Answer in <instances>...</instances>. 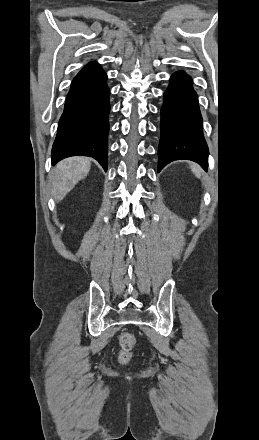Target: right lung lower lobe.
Wrapping results in <instances>:
<instances>
[{
	"label": "right lung lower lobe",
	"instance_id": "right-lung-lower-lobe-1",
	"mask_svg": "<svg viewBox=\"0 0 259 440\" xmlns=\"http://www.w3.org/2000/svg\"><path fill=\"white\" fill-rule=\"evenodd\" d=\"M98 63L73 79L52 147V165L70 156H89L107 171L110 90Z\"/></svg>",
	"mask_w": 259,
	"mask_h": 440
}]
</instances>
